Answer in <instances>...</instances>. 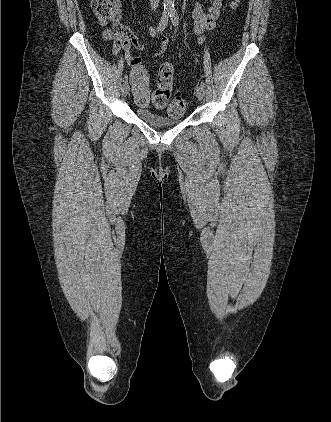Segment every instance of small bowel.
<instances>
[{"label":"small bowel","mask_w":331,"mask_h":422,"mask_svg":"<svg viewBox=\"0 0 331 422\" xmlns=\"http://www.w3.org/2000/svg\"><path fill=\"white\" fill-rule=\"evenodd\" d=\"M222 4L223 0H210V6L204 8L200 0L195 1L192 16L194 20V33L196 35L200 36L205 30H211L214 28L215 23L220 16ZM157 33V30L150 28V34L152 37H155ZM104 36L106 39L113 41L112 52L114 55H117L121 49H124L126 51L125 60L129 65L133 67L142 65V57L132 56L129 53L131 46L142 50L144 48L142 42L132 31L124 28L119 20L115 22L113 29L106 30L104 32ZM169 45L170 40L166 37H162L159 42V47L152 53L153 56H163ZM131 84L136 103L141 106L147 105L149 102L148 80L143 82L131 75ZM141 89L146 90L148 96L145 102H141L139 100V90Z\"/></svg>","instance_id":"obj_1"}]
</instances>
